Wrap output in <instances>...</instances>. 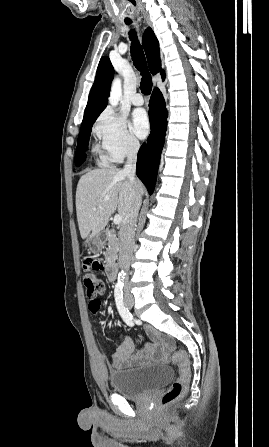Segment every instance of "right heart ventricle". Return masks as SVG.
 <instances>
[{
    "label": "right heart ventricle",
    "instance_id": "1",
    "mask_svg": "<svg viewBox=\"0 0 269 447\" xmlns=\"http://www.w3.org/2000/svg\"><path fill=\"white\" fill-rule=\"evenodd\" d=\"M110 161H111V157L110 156H108V155H106V154H104L102 152H99V158H98V164L99 165H107V164L110 163Z\"/></svg>",
    "mask_w": 269,
    "mask_h": 447
}]
</instances>
